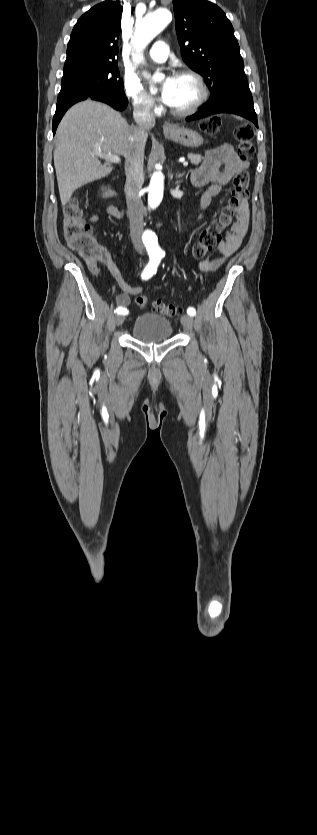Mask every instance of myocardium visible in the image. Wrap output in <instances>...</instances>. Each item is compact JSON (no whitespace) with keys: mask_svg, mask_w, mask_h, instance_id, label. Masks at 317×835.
<instances>
[{"mask_svg":"<svg viewBox=\"0 0 317 835\" xmlns=\"http://www.w3.org/2000/svg\"><path fill=\"white\" fill-rule=\"evenodd\" d=\"M177 77H187L192 79L198 90V95L194 102L185 109H175L169 107V111L172 115L177 117H186L196 113L201 106L205 103L208 98V87L204 81V78L196 71L191 69H182L177 73Z\"/></svg>","mask_w":317,"mask_h":835,"instance_id":"1","label":"myocardium"}]
</instances>
